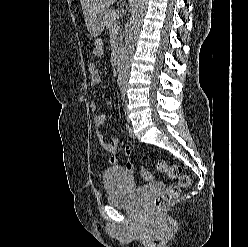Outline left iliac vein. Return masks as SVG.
Returning <instances> with one entry per match:
<instances>
[{
  "label": "left iliac vein",
  "mask_w": 248,
  "mask_h": 247,
  "mask_svg": "<svg viewBox=\"0 0 248 247\" xmlns=\"http://www.w3.org/2000/svg\"><path fill=\"white\" fill-rule=\"evenodd\" d=\"M125 116H126L127 121L129 122L130 119H129V116H128V111H127L126 104H125Z\"/></svg>",
  "instance_id": "left-iliac-vein-1"
}]
</instances>
